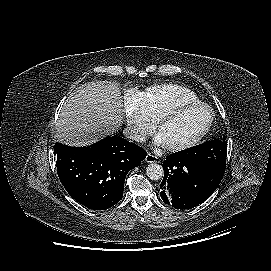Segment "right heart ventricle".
<instances>
[{"label":"right heart ventricle","mask_w":271,"mask_h":271,"mask_svg":"<svg viewBox=\"0 0 271 271\" xmlns=\"http://www.w3.org/2000/svg\"><path fill=\"white\" fill-rule=\"evenodd\" d=\"M144 96L146 108L152 120L175 105L199 100L189 88L173 83L152 85L146 89Z\"/></svg>","instance_id":"e07e8e85"}]
</instances>
